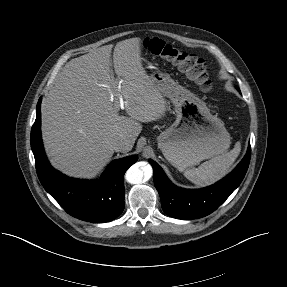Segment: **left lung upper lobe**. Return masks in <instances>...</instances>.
Masks as SVG:
<instances>
[{"mask_svg": "<svg viewBox=\"0 0 287 287\" xmlns=\"http://www.w3.org/2000/svg\"><path fill=\"white\" fill-rule=\"evenodd\" d=\"M236 89L240 92V90L238 88H236Z\"/></svg>", "mask_w": 287, "mask_h": 287, "instance_id": "1", "label": "left lung upper lobe"}]
</instances>
